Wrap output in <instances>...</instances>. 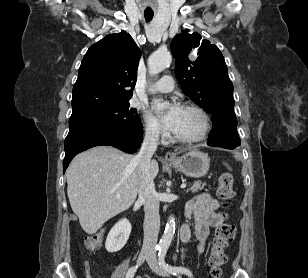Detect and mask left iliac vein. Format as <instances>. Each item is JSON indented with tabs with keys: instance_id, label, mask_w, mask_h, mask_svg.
Returning a JSON list of instances; mask_svg holds the SVG:
<instances>
[{
	"instance_id": "obj_1",
	"label": "left iliac vein",
	"mask_w": 308,
	"mask_h": 278,
	"mask_svg": "<svg viewBox=\"0 0 308 278\" xmlns=\"http://www.w3.org/2000/svg\"><path fill=\"white\" fill-rule=\"evenodd\" d=\"M147 262L150 268L158 275L161 276H168V273L165 269H163L157 260L156 254L151 253L150 256L147 258Z\"/></svg>"
}]
</instances>
